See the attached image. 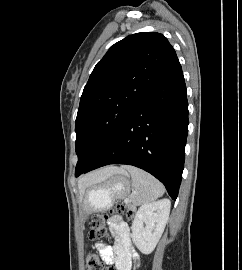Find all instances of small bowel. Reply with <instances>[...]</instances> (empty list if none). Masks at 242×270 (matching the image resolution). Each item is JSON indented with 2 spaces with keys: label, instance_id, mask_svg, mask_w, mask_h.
<instances>
[{
  "label": "small bowel",
  "instance_id": "c3829d8e",
  "mask_svg": "<svg viewBox=\"0 0 242 270\" xmlns=\"http://www.w3.org/2000/svg\"><path fill=\"white\" fill-rule=\"evenodd\" d=\"M109 228L115 241L114 245L96 244L102 260L106 264L116 265L118 270H131L132 260L137 257L132 252L128 224L120 216H113L109 220Z\"/></svg>",
  "mask_w": 242,
  "mask_h": 270
}]
</instances>
